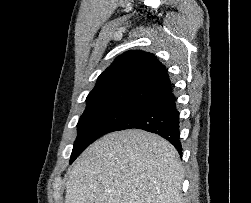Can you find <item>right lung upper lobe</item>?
<instances>
[{"label":"right lung upper lobe","mask_w":251,"mask_h":203,"mask_svg":"<svg viewBox=\"0 0 251 203\" xmlns=\"http://www.w3.org/2000/svg\"><path fill=\"white\" fill-rule=\"evenodd\" d=\"M173 96L166 68L141 50L118 56L98 77L87 106L127 105L146 109Z\"/></svg>","instance_id":"cb5924a9"}]
</instances>
